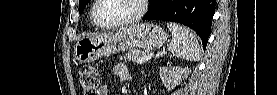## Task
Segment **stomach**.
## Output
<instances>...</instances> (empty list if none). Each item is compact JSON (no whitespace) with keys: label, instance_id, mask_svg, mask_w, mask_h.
<instances>
[{"label":"stomach","instance_id":"stomach-1","mask_svg":"<svg viewBox=\"0 0 277 95\" xmlns=\"http://www.w3.org/2000/svg\"><path fill=\"white\" fill-rule=\"evenodd\" d=\"M166 40L167 34L158 25L133 24L78 40L74 46V57L80 63H89L133 48L154 50L162 47Z\"/></svg>","mask_w":277,"mask_h":95}]
</instances>
